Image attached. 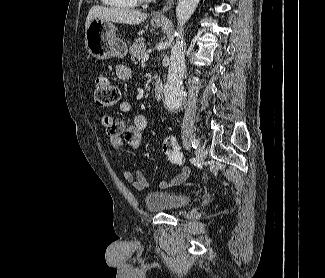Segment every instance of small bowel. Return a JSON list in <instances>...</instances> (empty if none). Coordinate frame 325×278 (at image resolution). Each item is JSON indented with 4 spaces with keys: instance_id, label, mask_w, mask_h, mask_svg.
Instances as JSON below:
<instances>
[{
    "instance_id": "1",
    "label": "small bowel",
    "mask_w": 325,
    "mask_h": 278,
    "mask_svg": "<svg viewBox=\"0 0 325 278\" xmlns=\"http://www.w3.org/2000/svg\"><path fill=\"white\" fill-rule=\"evenodd\" d=\"M116 75L118 78L126 80L130 78L131 71L128 66L121 64L116 67ZM132 109V103L128 100H123L119 104V110L123 113L131 112ZM101 124L109 143L114 148L118 149L123 145H127L137 150L147 128V119L143 114H137L133 122L127 125L123 121L115 120L111 115H103ZM188 176L189 171L185 169L178 176L162 181L160 186L167 188L186 180ZM123 177L127 182L132 183L138 189H144L148 185L146 177L140 171H124Z\"/></svg>"
}]
</instances>
